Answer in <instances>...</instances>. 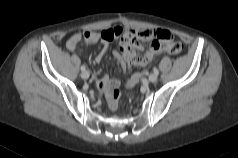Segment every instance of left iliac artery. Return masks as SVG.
Returning a JSON list of instances; mask_svg holds the SVG:
<instances>
[{
    "label": "left iliac artery",
    "mask_w": 238,
    "mask_h": 158,
    "mask_svg": "<svg viewBox=\"0 0 238 158\" xmlns=\"http://www.w3.org/2000/svg\"><path fill=\"white\" fill-rule=\"evenodd\" d=\"M153 72H154L155 74H157V75L159 74V71H158V69H157L156 67L153 68Z\"/></svg>",
    "instance_id": "44dca946"
}]
</instances>
